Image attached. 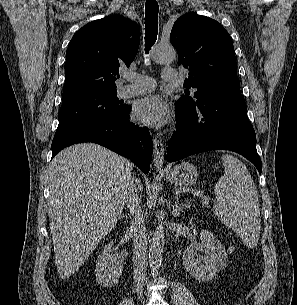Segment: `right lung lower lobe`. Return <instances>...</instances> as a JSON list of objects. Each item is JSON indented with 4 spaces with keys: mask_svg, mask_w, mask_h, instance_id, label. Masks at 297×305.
Segmentation results:
<instances>
[{
    "mask_svg": "<svg viewBox=\"0 0 297 305\" xmlns=\"http://www.w3.org/2000/svg\"><path fill=\"white\" fill-rule=\"evenodd\" d=\"M131 107L119 117H101L82 122L55 135L52 158L62 149L81 142H94L130 159L149 172L153 142L147 130L129 121Z\"/></svg>",
    "mask_w": 297,
    "mask_h": 305,
    "instance_id": "obj_1",
    "label": "right lung lower lobe"
}]
</instances>
